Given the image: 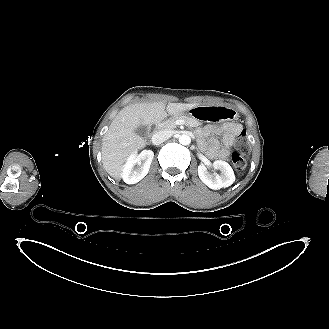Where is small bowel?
I'll list each match as a JSON object with an SVG mask.
<instances>
[{"mask_svg":"<svg viewBox=\"0 0 329 329\" xmlns=\"http://www.w3.org/2000/svg\"><path fill=\"white\" fill-rule=\"evenodd\" d=\"M204 132L210 137L208 142L210 156L225 159L230 155L236 137L242 132V127L237 123H232L224 129L210 125Z\"/></svg>","mask_w":329,"mask_h":329,"instance_id":"1","label":"small bowel"}]
</instances>
